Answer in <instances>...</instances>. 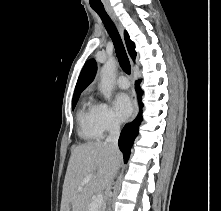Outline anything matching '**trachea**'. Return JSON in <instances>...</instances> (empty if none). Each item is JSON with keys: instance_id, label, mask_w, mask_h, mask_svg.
I'll return each instance as SVG.
<instances>
[{"instance_id": "1", "label": "trachea", "mask_w": 221, "mask_h": 211, "mask_svg": "<svg viewBox=\"0 0 221 211\" xmlns=\"http://www.w3.org/2000/svg\"><path fill=\"white\" fill-rule=\"evenodd\" d=\"M93 10L100 16L109 36L113 41L120 67L126 74L129 75L131 73L130 62L125 47L123 45L122 39L114 22L112 21V19L110 18V16L104 8H93Z\"/></svg>"}]
</instances>
